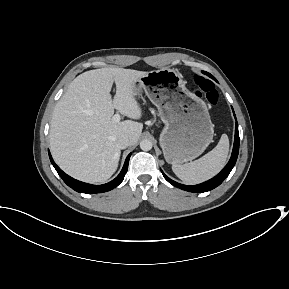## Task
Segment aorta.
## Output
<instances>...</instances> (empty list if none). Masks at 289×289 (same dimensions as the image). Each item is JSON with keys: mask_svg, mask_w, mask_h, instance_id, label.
I'll use <instances>...</instances> for the list:
<instances>
[{"mask_svg": "<svg viewBox=\"0 0 289 289\" xmlns=\"http://www.w3.org/2000/svg\"><path fill=\"white\" fill-rule=\"evenodd\" d=\"M152 142L148 139H144L140 142V148L143 150V151H149L152 149Z\"/></svg>", "mask_w": 289, "mask_h": 289, "instance_id": "1", "label": "aorta"}]
</instances>
